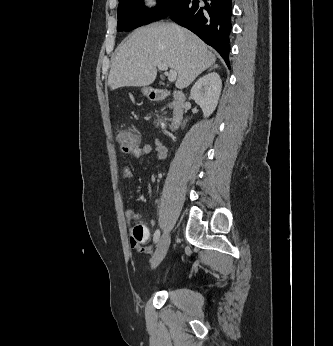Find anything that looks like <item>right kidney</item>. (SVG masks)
<instances>
[{"label":"right kidney","instance_id":"1","mask_svg":"<svg viewBox=\"0 0 333 346\" xmlns=\"http://www.w3.org/2000/svg\"><path fill=\"white\" fill-rule=\"evenodd\" d=\"M221 89L222 81L216 72L203 76L193 85L190 96L201 107L205 118L216 109Z\"/></svg>","mask_w":333,"mask_h":346}]
</instances>
